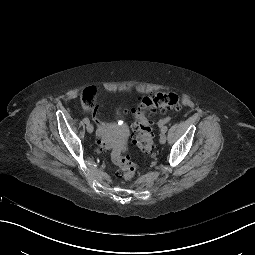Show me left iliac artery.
<instances>
[{"label": "left iliac artery", "instance_id": "obj_1", "mask_svg": "<svg viewBox=\"0 0 255 255\" xmlns=\"http://www.w3.org/2000/svg\"><path fill=\"white\" fill-rule=\"evenodd\" d=\"M167 130H168V127H167V126H163V127L161 128V132H162V133H166Z\"/></svg>", "mask_w": 255, "mask_h": 255}]
</instances>
